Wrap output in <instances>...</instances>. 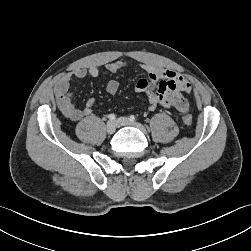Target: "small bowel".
Returning <instances> with one entry per match:
<instances>
[{"label": "small bowel", "instance_id": "c3829d8e", "mask_svg": "<svg viewBox=\"0 0 251 251\" xmlns=\"http://www.w3.org/2000/svg\"><path fill=\"white\" fill-rule=\"evenodd\" d=\"M127 64L117 60L106 65V69L111 73H116L124 69ZM142 70L146 73L136 84V91L144 94L148 101V108L155 110L158 106L175 109L180 113H185L189 109V104L183 93H190L192 86L190 82L180 73L161 68L152 64H142ZM99 68L91 66L88 69L79 68L73 73L62 76L55 85V96L60 112L71 121H79L92 114L95 104L94 98H88L82 109L77 108L73 103V94L70 89L73 78L84 79L86 76L98 77ZM119 89V82L110 80L106 84V91L114 95Z\"/></svg>", "mask_w": 251, "mask_h": 251}]
</instances>
